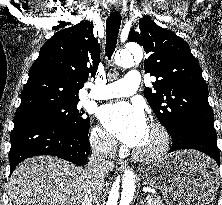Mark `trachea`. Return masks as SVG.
I'll return each instance as SVG.
<instances>
[{
  "label": "trachea",
  "instance_id": "1",
  "mask_svg": "<svg viewBox=\"0 0 222 205\" xmlns=\"http://www.w3.org/2000/svg\"><path fill=\"white\" fill-rule=\"evenodd\" d=\"M121 25L119 12H111L106 21V56L110 59L115 51L118 33Z\"/></svg>",
  "mask_w": 222,
  "mask_h": 205
}]
</instances>
